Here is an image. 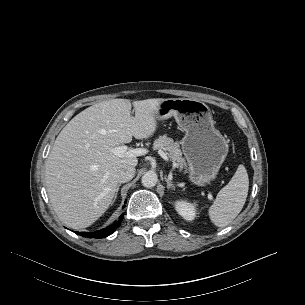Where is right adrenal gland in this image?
Returning a JSON list of instances; mask_svg holds the SVG:
<instances>
[{"label": "right adrenal gland", "mask_w": 305, "mask_h": 305, "mask_svg": "<svg viewBox=\"0 0 305 305\" xmlns=\"http://www.w3.org/2000/svg\"><path fill=\"white\" fill-rule=\"evenodd\" d=\"M121 186V183H119L117 186H116V192H115V196H114V199H113V203L115 202L116 198H117V195H118V191H119V188Z\"/></svg>", "instance_id": "2a0ac1e0"}]
</instances>
